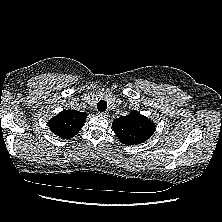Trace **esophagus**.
<instances>
[{"instance_id": "esophagus-1", "label": "esophagus", "mask_w": 222, "mask_h": 222, "mask_svg": "<svg viewBox=\"0 0 222 222\" xmlns=\"http://www.w3.org/2000/svg\"><path fill=\"white\" fill-rule=\"evenodd\" d=\"M101 117H107L108 116V113L107 112H99L98 113Z\"/></svg>"}]
</instances>
